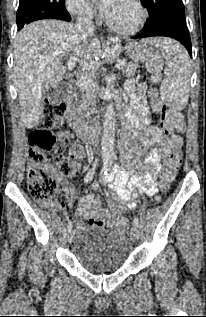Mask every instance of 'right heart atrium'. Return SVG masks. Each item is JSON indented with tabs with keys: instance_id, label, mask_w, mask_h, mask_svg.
<instances>
[{
	"instance_id": "d8ad5b80",
	"label": "right heart atrium",
	"mask_w": 206,
	"mask_h": 317,
	"mask_svg": "<svg viewBox=\"0 0 206 317\" xmlns=\"http://www.w3.org/2000/svg\"><path fill=\"white\" fill-rule=\"evenodd\" d=\"M66 6L76 18L92 19L95 16V10L87 0H66Z\"/></svg>"
}]
</instances>
